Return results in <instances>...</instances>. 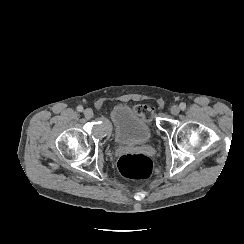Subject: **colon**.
<instances>
[{
  "mask_svg": "<svg viewBox=\"0 0 244 244\" xmlns=\"http://www.w3.org/2000/svg\"><path fill=\"white\" fill-rule=\"evenodd\" d=\"M138 112L150 121L153 117L152 111L145 110L142 107ZM119 170L126 178L147 179L153 172V161L144 154H125L119 159Z\"/></svg>",
  "mask_w": 244,
  "mask_h": 244,
  "instance_id": "1",
  "label": "colon"
}]
</instances>
